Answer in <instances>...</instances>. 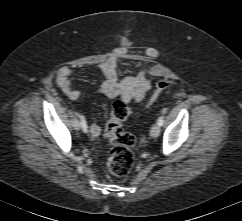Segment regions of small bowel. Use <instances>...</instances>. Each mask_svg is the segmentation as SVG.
Wrapping results in <instances>:
<instances>
[{"label": "small bowel", "mask_w": 242, "mask_h": 221, "mask_svg": "<svg viewBox=\"0 0 242 221\" xmlns=\"http://www.w3.org/2000/svg\"><path fill=\"white\" fill-rule=\"evenodd\" d=\"M127 57L125 49L118 50L114 56L108 58L98 69L104 75L99 92L109 99L119 98L125 102H140L151 90V82L146 75L145 69H141L135 76L120 78L118 74V61ZM73 70L67 66L61 67L57 72L56 82L61 91L71 100H77L84 93L74 88L71 78ZM91 134L97 137L100 127L97 124L90 126Z\"/></svg>", "instance_id": "1"}]
</instances>
